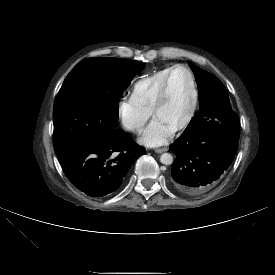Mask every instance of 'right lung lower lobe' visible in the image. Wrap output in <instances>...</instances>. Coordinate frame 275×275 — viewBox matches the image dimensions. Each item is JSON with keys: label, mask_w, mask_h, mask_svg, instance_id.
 Here are the masks:
<instances>
[{"label": "right lung lower lobe", "mask_w": 275, "mask_h": 275, "mask_svg": "<svg viewBox=\"0 0 275 275\" xmlns=\"http://www.w3.org/2000/svg\"><path fill=\"white\" fill-rule=\"evenodd\" d=\"M144 150L125 132L115 129L67 145L56 154L64 172L80 191L101 197L120 186L132 162Z\"/></svg>", "instance_id": "98d812e1"}]
</instances>
